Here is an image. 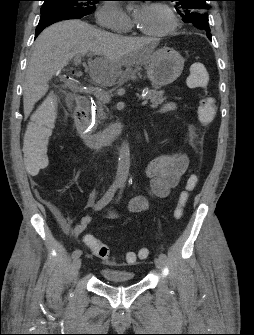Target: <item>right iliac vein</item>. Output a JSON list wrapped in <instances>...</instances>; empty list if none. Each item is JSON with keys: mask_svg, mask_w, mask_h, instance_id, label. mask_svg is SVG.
<instances>
[{"mask_svg": "<svg viewBox=\"0 0 254 335\" xmlns=\"http://www.w3.org/2000/svg\"><path fill=\"white\" fill-rule=\"evenodd\" d=\"M81 264H82L81 258H79V257L74 258L73 269H74L75 272H77L80 269Z\"/></svg>", "mask_w": 254, "mask_h": 335, "instance_id": "obj_1", "label": "right iliac vein"}]
</instances>
